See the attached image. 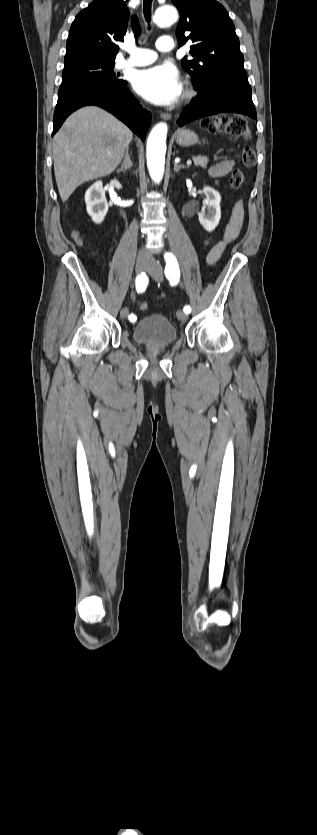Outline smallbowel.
<instances>
[{
  "instance_id": "small-bowel-1",
  "label": "small bowel",
  "mask_w": 317,
  "mask_h": 835,
  "mask_svg": "<svg viewBox=\"0 0 317 835\" xmlns=\"http://www.w3.org/2000/svg\"><path fill=\"white\" fill-rule=\"evenodd\" d=\"M234 166L233 160H224L218 162L210 167L209 174L214 178H222L230 173ZM243 223V210L240 205L235 206L230 222L228 223L224 238L221 242L215 245L206 255V262L210 265L215 264L220 258L225 245L239 235Z\"/></svg>"
}]
</instances>
